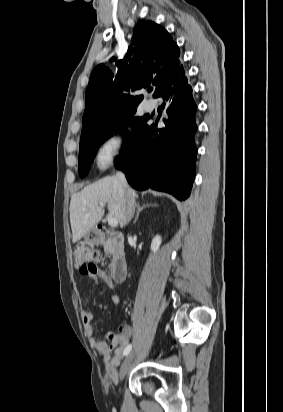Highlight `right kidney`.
<instances>
[{"instance_id": "right-kidney-1", "label": "right kidney", "mask_w": 283, "mask_h": 412, "mask_svg": "<svg viewBox=\"0 0 283 412\" xmlns=\"http://www.w3.org/2000/svg\"><path fill=\"white\" fill-rule=\"evenodd\" d=\"M161 242H162V240H161V237H160V236L157 235V236H155V237L153 238L152 243H151V250H152L154 253H156V252L158 251Z\"/></svg>"}]
</instances>
